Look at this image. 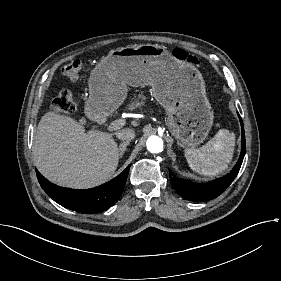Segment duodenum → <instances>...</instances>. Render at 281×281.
Instances as JSON below:
<instances>
[{
  "label": "duodenum",
  "mask_w": 281,
  "mask_h": 281,
  "mask_svg": "<svg viewBox=\"0 0 281 281\" xmlns=\"http://www.w3.org/2000/svg\"><path fill=\"white\" fill-rule=\"evenodd\" d=\"M97 122L100 126L105 127L109 124L110 119L107 115L102 114L98 117Z\"/></svg>",
  "instance_id": "duodenum-1"
}]
</instances>
